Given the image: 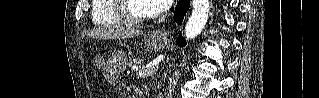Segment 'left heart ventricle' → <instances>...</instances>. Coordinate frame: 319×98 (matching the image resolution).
Returning a JSON list of instances; mask_svg holds the SVG:
<instances>
[{
  "instance_id": "1",
  "label": "left heart ventricle",
  "mask_w": 319,
  "mask_h": 98,
  "mask_svg": "<svg viewBox=\"0 0 319 98\" xmlns=\"http://www.w3.org/2000/svg\"><path fill=\"white\" fill-rule=\"evenodd\" d=\"M126 5L127 11L130 15L141 17L149 14L144 1L142 0H129Z\"/></svg>"
}]
</instances>
